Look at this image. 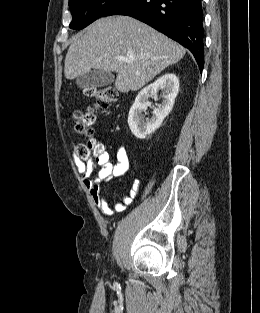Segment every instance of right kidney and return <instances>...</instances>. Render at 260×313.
Wrapping results in <instances>:
<instances>
[{"instance_id":"ca27d5eb","label":"right kidney","mask_w":260,"mask_h":313,"mask_svg":"<svg viewBox=\"0 0 260 313\" xmlns=\"http://www.w3.org/2000/svg\"><path fill=\"white\" fill-rule=\"evenodd\" d=\"M159 90L163 94L162 103L153 110L150 120L145 122L142 111L150 106L149 99L156 97ZM178 91L177 76L174 73H166L138 93L128 115L130 130L136 138L145 139L160 127L164 118L172 110Z\"/></svg>"}]
</instances>
